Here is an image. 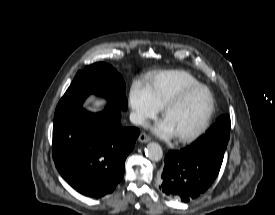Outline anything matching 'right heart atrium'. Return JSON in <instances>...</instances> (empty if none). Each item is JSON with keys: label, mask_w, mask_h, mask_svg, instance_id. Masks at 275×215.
Instances as JSON below:
<instances>
[{"label": "right heart atrium", "mask_w": 275, "mask_h": 215, "mask_svg": "<svg viewBox=\"0 0 275 215\" xmlns=\"http://www.w3.org/2000/svg\"><path fill=\"white\" fill-rule=\"evenodd\" d=\"M129 103L132 110V118L135 123L140 125H144L159 112V108L151 98L147 87L137 81L133 82L131 86Z\"/></svg>", "instance_id": "obj_1"}]
</instances>
